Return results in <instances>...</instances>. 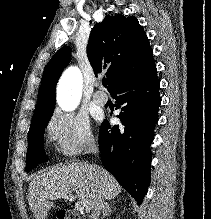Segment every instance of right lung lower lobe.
Instances as JSON below:
<instances>
[{"mask_svg": "<svg viewBox=\"0 0 211 219\" xmlns=\"http://www.w3.org/2000/svg\"><path fill=\"white\" fill-rule=\"evenodd\" d=\"M160 83L154 60L122 78L110 91L121 109L122 125L111 127L104 120L99 131V149L104 167L115 176L140 205L151 174L150 144L161 104Z\"/></svg>", "mask_w": 211, "mask_h": 219, "instance_id": "right-lung-lower-lobe-1", "label": "right lung lower lobe"}]
</instances>
